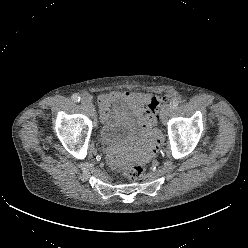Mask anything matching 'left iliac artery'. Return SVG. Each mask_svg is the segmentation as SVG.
<instances>
[{"mask_svg":"<svg viewBox=\"0 0 248 248\" xmlns=\"http://www.w3.org/2000/svg\"><path fill=\"white\" fill-rule=\"evenodd\" d=\"M179 103H180L179 98L173 99V100L170 102L171 108H173V109L176 108V107L179 105Z\"/></svg>","mask_w":248,"mask_h":248,"instance_id":"left-iliac-artery-1","label":"left iliac artery"}]
</instances>
